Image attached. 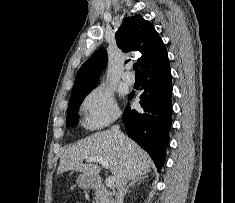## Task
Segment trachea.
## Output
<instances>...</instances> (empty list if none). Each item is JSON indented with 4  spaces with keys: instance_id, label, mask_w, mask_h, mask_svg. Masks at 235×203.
<instances>
[{
    "instance_id": "3493384b",
    "label": "trachea",
    "mask_w": 235,
    "mask_h": 203,
    "mask_svg": "<svg viewBox=\"0 0 235 203\" xmlns=\"http://www.w3.org/2000/svg\"><path fill=\"white\" fill-rule=\"evenodd\" d=\"M133 68H134V70H135L136 76H140L139 63H135V64L133 65Z\"/></svg>"
}]
</instances>
